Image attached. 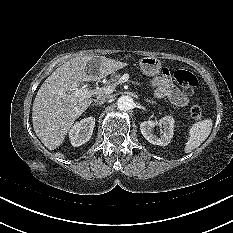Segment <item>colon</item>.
<instances>
[{"label": "colon", "instance_id": "5ec220e1", "mask_svg": "<svg viewBox=\"0 0 233 233\" xmlns=\"http://www.w3.org/2000/svg\"><path fill=\"white\" fill-rule=\"evenodd\" d=\"M175 81L181 86V88L188 94L194 93L198 80L196 76L185 69H178L173 74ZM190 115L194 120H200L202 117V110L200 106L193 105L190 108Z\"/></svg>", "mask_w": 233, "mask_h": 233}]
</instances>
